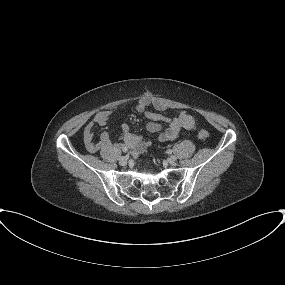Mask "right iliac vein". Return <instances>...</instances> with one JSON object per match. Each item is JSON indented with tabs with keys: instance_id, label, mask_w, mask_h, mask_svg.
Instances as JSON below:
<instances>
[{
	"instance_id": "1",
	"label": "right iliac vein",
	"mask_w": 285,
	"mask_h": 285,
	"mask_svg": "<svg viewBox=\"0 0 285 285\" xmlns=\"http://www.w3.org/2000/svg\"><path fill=\"white\" fill-rule=\"evenodd\" d=\"M128 156H122L120 159H119V163L121 164V165H126L127 164V162H128Z\"/></svg>"
}]
</instances>
